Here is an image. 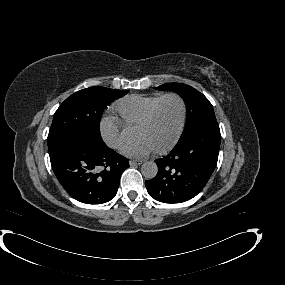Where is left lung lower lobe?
<instances>
[{"mask_svg":"<svg viewBox=\"0 0 285 285\" xmlns=\"http://www.w3.org/2000/svg\"><path fill=\"white\" fill-rule=\"evenodd\" d=\"M220 139L217 122L202 125L179 139L167 156L155 160L158 173L145 181L148 194L163 203H181L195 197L216 167Z\"/></svg>","mask_w":285,"mask_h":285,"instance_id":"left-lung-lower-lobe-1","label":"left lung lower lobe"}]
</instances>
